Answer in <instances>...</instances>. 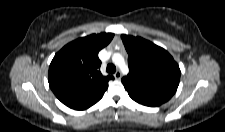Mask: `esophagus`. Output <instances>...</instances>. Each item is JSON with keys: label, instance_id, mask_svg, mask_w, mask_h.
Segmentation results:
<instances>
[{"label": "esophagus", "instance_id": "obj_1", "mask_svg": "<svg viewBox=\"0 0 225 132\" xmlns=\"http://www.w3.org/2000/svg\"><path fill=\"white\" fill-rule=\"evenodd\" d=\"M114 77H115V79H121V77H122L121 72L120 71H116L115 74H114Z\"/></svg>", "mask_w": 225, "mask_h": 132}]
</instances>
